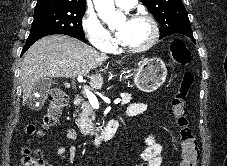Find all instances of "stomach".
<instances>
[{
	"label": "stomach",
	"mask_w": 227,
	"mask_h": 166,
	"mask_svg": "<svg viewBox=\"0 0 227 166\" xmlns=\"http://www.w3.org/2000/svg\"><path fill=\"white\" fill-rule=\"evenodd\" d=\"M167 68L157 57L146 58L139 62L134 76V83L143 92L156 91L166 80Z\"/></svg>",
	"instance_id": "stomach-1"
}]
</instances>
